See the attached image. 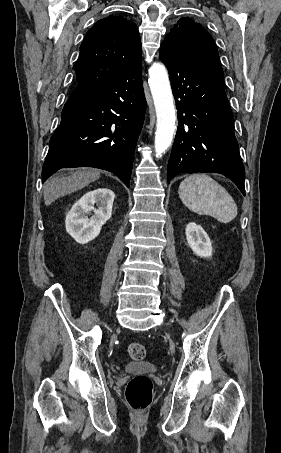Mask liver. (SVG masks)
Masks as SVG:
<instances>
[{"mask_svg": "<svg viewBox=\"0 0 281 453\" xmlns=\"http://www.w3.org/2000/svg\"><path fill=\"white\" fill-rule=\"evenodd\" d=\"M100 178V170H92V168H83L76 170L70 176H61V178H49L44 186V202L49 206L59 196H65L70 192H76L84 186H88L90 182H94Z\"/></svg>", "mask_w": 281, "mask_h": 453, "instance_id": "6515ba94", "label": "liver"}]
</instances>
